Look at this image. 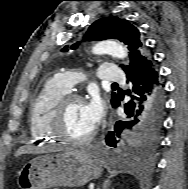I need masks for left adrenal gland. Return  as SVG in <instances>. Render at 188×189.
<instances>
[{
  "label": "left adrenal gland",
  "mask_w": 188,
  "mask_h": 189,
  "mask_svg": "<svg viewBox=\"0 0 188 189\" xmlns=\"http://www.w3.org/2000/svg\"><path fill=\"white\" fill-rule=\"evenodd\" d=\"M97 189H100V186H98ZM102 189H108V182L107 181L103 183Z\"/></svg>",
  "instance_id": "obj_1"
}]
</instances>
